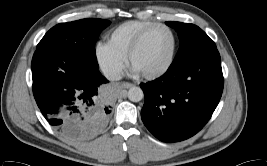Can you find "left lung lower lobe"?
Returning <instances> with one entry per match:
<instances>
[{
    "label": "left lung lower lobe",
    "mask_w": 267,
    "mask_h": 166,
    "mask_svg": "<svg viewBox=\"0 0 267 166\" xmlns=\"http://www.w3.org/2000/svg\"><path fill=\"white\" fill-rule=\"evenodd\" d=\"M223 83L217 49L171 64L160 78L140 84L145 94L143 123L163 142L186 140L211 118L221 98Z\"/></svg>",
    "instance_id": "0a47b994"
}]
</instances>
